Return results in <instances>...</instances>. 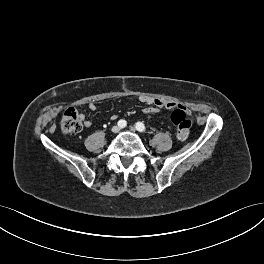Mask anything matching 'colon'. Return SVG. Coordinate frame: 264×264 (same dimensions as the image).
I'll return each mask as SVG.
<instances>
[{"mask_svg": "<svg viewBox=\"0 0 264 264\" xmlns=\"http://www.w3.org/2000/svg\"><path fill=\"white\" fill-rule=\"evenodd\" d=\"M171 121L176 128L177 136L186 139L190 134L192 122L183 107L178 106L171 113ZM61 129L65 134H76L82 129L79 113L74 108L67 109L61 119Z\"/></svg>", "mask_w": 264, "mask_h": 264, "instance_id": "5ec220e1", "label": "colon"}]
</instances>
